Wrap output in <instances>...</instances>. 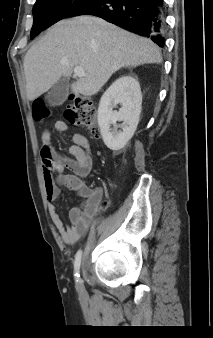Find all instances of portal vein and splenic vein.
<instances>
[{"label": "portal vein and splenic vein", "instance_id": "18ae733b", "mask_svg": "<svg viewBox=\"0 0 213 338\" xmlns=\"http://www.w3.org/2000/svg\"><path fill=\"white\" fill-rule=\"evenodd\" d=\"M74 74L78 77L86 76L84 69L82 67H79V66L74 68Z\"/></svg>", "mask_w": 213, "mask_h": 338}]
</instances>
